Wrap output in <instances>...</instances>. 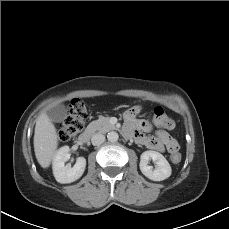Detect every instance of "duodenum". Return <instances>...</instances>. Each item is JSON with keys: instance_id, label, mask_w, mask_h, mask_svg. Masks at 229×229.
I'll use <instances>...</instances> for the list:
<instances>
[{"instance_id": "duodenum-1", "label": "duodenum", "mask_w": 229, "mask_h": 229, "mask_svg": "<svg viewBox=\"0 0 229 229\" xmlns=\"http://www.w3.org/2000/svg\"><path fill=\"white\" fill-rule=\"evenodd\" d=\"M94 135V129L93 128H89L87 131H85L84 133H82L79 138H78V144L84 145L90 142V140L92 139Z\"/></svg>"}]
</instances>
